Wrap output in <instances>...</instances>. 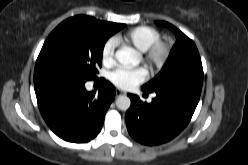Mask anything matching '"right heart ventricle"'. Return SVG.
I'll return each instance as SVG.
<instances>
[{
    "label": "right heart ventricle",
    "instance_id": "obj_1",
    "mask_svg": "<svg viewBox=\"0 0 248 165\" xmlns=\"http://www.w3.org/2000/svg\"><path fill=\"white\" fill-rule=\"evenodd\" d=\"M160 33L150 26H138L116 37L124 45L132 46L140 52H145L154 42L159 40Z\"/></svg>",
    "mask_w": 248,
    "mask_h": 165
}]
</instances>
